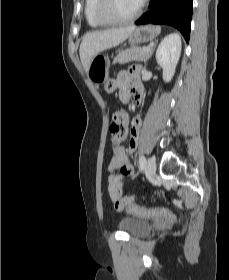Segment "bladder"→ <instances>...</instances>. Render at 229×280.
<instances>
[{
  "mask_svg": "<svg viewBox=\"0 0 229 280\" xmlns=\"http://www.w3.org/2000/svg\"><path fill=\"white\" fill-rule=\"evenodd\" d=\"M119 226L128 235L133 237L143 236L151 233L154 229L145 219L125 217L119 221Z\"/></svg>",
  "mask_w": 229,
  "mask_h": 280,
  "instance_id": "31cf9c89",
  "label": "bladder"
}]
</instances>
